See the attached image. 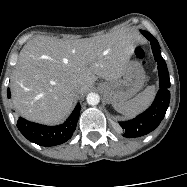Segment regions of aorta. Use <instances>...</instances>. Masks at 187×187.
Wrapping results in <instances>:
<instances>
[{"instance_id":"obj_1","label":"aorta","mask_w":187,"mask_h":187,"mask_svg":"<svg viewBox=\"0 0 187 187\" xmlns=\"http://www.w3.org/2000/svg\"><path fill=\"white\" fill-rule=\"evenodd\" d=\"M86 100L89 105L94 106L100 102V96L97 93L91 92L87 95Z\"/></svg>"}]
</instances>
